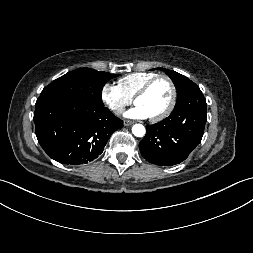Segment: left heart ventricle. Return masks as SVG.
<instances>
[{
	"label": "left heart ventricle",
	"instance_id": "1",
	"mask_svg": "<svg viewBox=\"0 0 253 253\" xmlns=\"http://www.w3.org/2000/svg\"><path fill=\"white\" fill-rule=\"evenodd\" d=\"M171 99V89L165 79L156 81L148 92L136 100L149 117H154L163 112Z\"/></svg>",
	"mask_w": 253,
	"mask_h": 253
}]
</instances>
